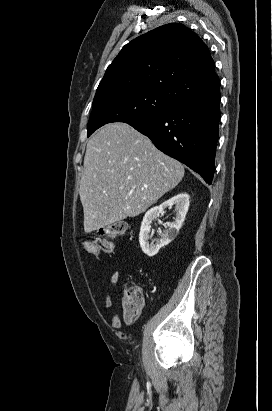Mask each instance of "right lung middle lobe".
Instances as JSON below:
<instances>
[{
	"label": "right lung middle lobe",
	"instance_id": "right-lung-middle-lobe-1",
	"mask_svg": "<svg viewBox=\"0 0 272 411\" xmlns=\"http://www.w3.org/2000/svg\"><path fill=\"white\" fill-rule=\"evenodd\" d=\"M178 101L164 91L150 88H130L95 94L87 133L110 122L133 123L170 108Z\"/></svg>",
	"mask_w": 272,
	"mask_h": 411
}]
</instances>
